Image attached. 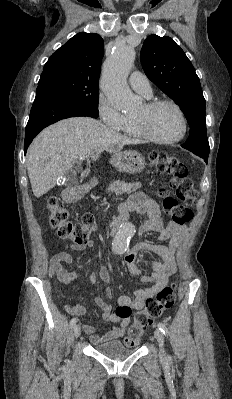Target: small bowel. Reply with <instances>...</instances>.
I'll return each mask as SVG.
<instances>
[{"mask_svg": "<svg viewBox=\"0 0 232 399\" xmlns=\"http://www.w3.org/2000/svg\"><path fill=\"white\" fill-rule=\"evenodd\" d=\"M129 205L132 209L142 211L147 216L140 228L141 233H147L151 230L159 231L157 239L152 241H140L135 247L130 248L124 254V260L128 271L139 276L141 283H153V285L138 290L133 298L129 296H120L117 300V308L114 311H112L111 306L102 298L96 300L95 303L101 311V320L105 322H115L117 325L113 326L106 334L101 335L97 333L92 325L81 322L79 324V329L89 335L91 344L95 346L105 343L118 345V337L123 334L129 326L131 311L133 309L143 308L147 299L153 297L168 285L176 271L177 251L181 247L186 233L185 226L163 224L159 219V201L155 198L148 197L143 192L133 193L130 196ZM165 241H170V248H166L162 245ZM92 247L93 243L90 241L68 244L65 250L54 254L51 258L47 271L48 277H56L60 285L69 284L80 277H87L92 284L97 285L98 277L93 273H86V269L91 264L102 259V254L100 252H93L87 258L80 261L77 269L68 271L63 266L64 264L72 262L73 256L71 250H86ZM142 249L157 253L162 258V261H157L153 264V272L148 274H142L139 266L135 262L138 252ZM100 278L105 283L111 281L110 272L105 267L100 269ZM107 295L111 297L112 291L108 290ZM64 307L71 315H83L87 312L86 307L80 302L74 304L66 303Z\"/></svg>", "mask_w": 232, "mask_h": 399, "instance_id": "small-bowel-1", "label": "small bowel"}]
</instances>
